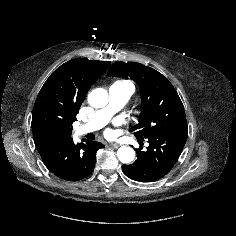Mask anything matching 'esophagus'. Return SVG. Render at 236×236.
<instances>
[{
    "instance_id": "34e87169",
    "label": "esophagus",
    "mask_w": 236,
    "mask_h": 236,
    "mask_svg": "<svg viewBox=\"0 0 236 236\" xmlns=\"http://www.w3.org/2000/svg\"><path fill=\"white\" fill-rule=\"evenodd\" d=\"M108 146L113 147V148H118L119 144H117V143H109Z\"/></svg>"
}]
</instances>
